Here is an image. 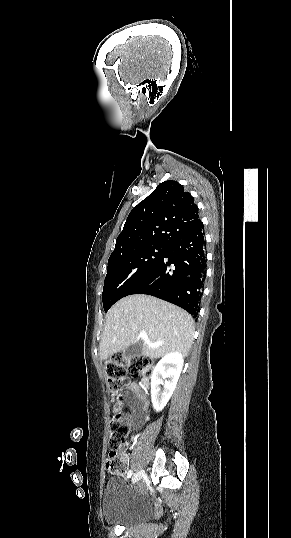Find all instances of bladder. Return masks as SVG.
Instances as JSON below:
<instances>
[{
    "label": "bladder",
    "mask_w": 291,
    "mask_h": 538,
    "mask_svg": "<svg viewBox=\"0 0 291 538\" xmlns=\"http://www.w3.org/2000/svg\"><path fill=\"white\" fill-rule=\"evenodd\" d=\"M125 477H111L103 490V518L113 526H133L150 519L153 503L149 497L131 489Z\"/></svg>",
    "instance_id": "bladder-1"
}]
</instances>
